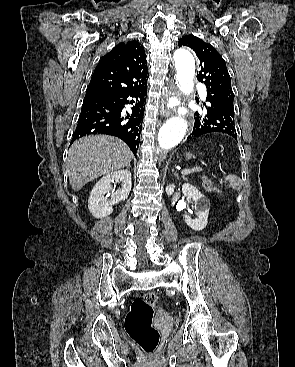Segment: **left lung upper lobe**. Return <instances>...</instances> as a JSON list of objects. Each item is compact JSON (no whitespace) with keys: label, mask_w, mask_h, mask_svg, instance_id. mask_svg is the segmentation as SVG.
Wrapping results in <instances>:
<instances>
[{"label":"left lung upper lobe","mask_w":295,"mask_h":367,"mask_svg":"<svg viewBox=\"0 0 295 367\" xmlns=\"http://www.w3.org/2000/svg\"><path fill=\"white\" fill-rule=\"evenodd\" d=\"M178 45L188 46L196 53L201 67L197 72V79L207 87L206 100L233 107L234 95L230 75L224 59L215 48L194 35L182 37Z\"/></svg>","instance_id":"1"}]
</instances>
